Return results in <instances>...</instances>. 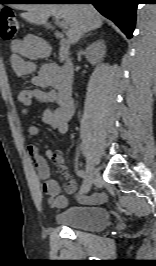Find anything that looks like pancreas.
Wrapping results in <instances>:
<instances>
[{
	"mask_svg": "<svg viewBox=\"0 0 156 266\" xmlns=\"http://www.w3.org/2000/svg\"><path fill=\"white\" fill-rule=\"evenodd\" d=\"M60 59H61V61H64V60H65V58H64V57H61Z\"/></svg>",
	"mask_w": 156,
	"mask_h": 266,
	"instance_id": "obj_1",
	"label": "pancreas"
}]
</instances>
